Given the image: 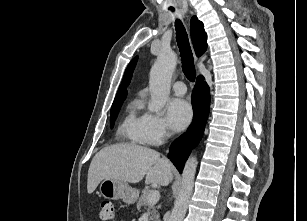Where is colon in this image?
Segmentation results:
<instances>
[{
  "instance_id": "colon-1",
  "label": "colon",
  "mask_w": 307,
  "mask_h": 221,
  "mask_svg": "<svg viewBox=\"0 0 307 221\" xmlns=\"http://www.w3.org/2000/svg\"><path fill=\"white\" fill-rule=\"evenodd\" d=\"M116 216L115 208L112 202L102 201L100 204L99 218L101 221L113 220Z\"/></svg>"
}]
</instances>
